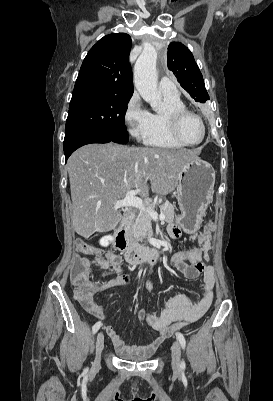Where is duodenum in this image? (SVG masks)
I'll list each match as a JSON object with an SVG mask.
<instances>
[{
	"label": "duodenum",
	"instance_id": "410a0bca",
	"mask_svg": "<svg viewBox=\"0 0 273 401\" xmlns=\"http://www.w3.org/2000/svg\"><path fill=\"white\" fill-rule=\"evenodd\" d=\"M133 215L128 213L124 216L115 233V246L123 254L124 259L131 265H142L158 260L162 254V245L144 247L133 242L128 236V229Z\"/></svg>",
	"mask_w": 273,
	"mask_h": 401
}]
</instances>
